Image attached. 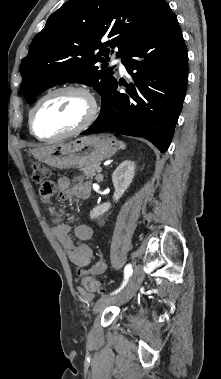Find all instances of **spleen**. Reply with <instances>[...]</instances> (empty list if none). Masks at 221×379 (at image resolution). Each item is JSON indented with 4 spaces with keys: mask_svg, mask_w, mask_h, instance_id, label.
Segmentation results:
<instances>
[{
    "mask_svg": "<svg viewBox=\"0 0 221 379\" xmlns=\"http://www.w3.org/2000/svg\"><path fill=\"white\" fill-rule=\"evenodd\" d=\"M121 148H125V144L123 142H119Z\"/></svg>",
    "mask_w": 221,
    "mask_h": 379,
    "instance_id": "3e777b00",
    "label": "spleen"
}]
</instances>
